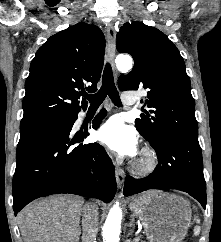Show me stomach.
<instances>
[{
    "label": "stomach",
    "instance_id": "obj_1",
    "mask_svg": "<svg viewBox=\"0 0 221 242\" xmlns=\"http://www.w3.org/2000/svg\"><path fill=\"white\" fill-rule=\"evenodd\" d=\"M141 220L150 242H179L191 223V208L182 197L158 190L147 191L129 204Z\"/></svg>",
    "mask_w": 221,
    "mask_h": 242
}]
</instances>
